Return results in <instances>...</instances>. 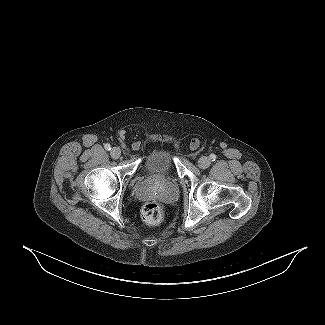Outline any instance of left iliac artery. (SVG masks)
<instances>
[{
  "mask_svg": "<svg viewBox=\"0 0 325 325\" xmlns=\"http://www.w3.org/2000/svg\"><path fill=\"white\" fill-rule=\"evenodd\" d=\"M210 159H211L212 161H215V160H216V155H215V154H211V155H210Z\"/></svg>",
  "mask_w": 325,
  "mask_h": 325,
  "instance_id": "1",
  "label": "left iliac artery"
}]
</instances>
